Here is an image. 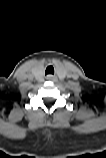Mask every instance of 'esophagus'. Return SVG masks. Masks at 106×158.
<instances>
[{
    "label": "esophagus",
    "mask_w": 106,
    "mask_h": 158,
    "mask_svg": "<svg viewBox=\"0 0 106 158\" xmlns=\"http://www.w3.org/2000/svg\"><path fill=\"white\" fill-rule=\"evenodd\" d=\"M47 79H49V80H53V79H54V76H52V75H48V76H47Z\"/></svg>",
    "instance_id": "34e87169"
}]
</instances>
